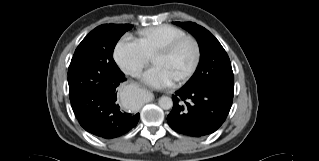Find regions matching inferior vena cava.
<instances>
[{
	"instance_id": "inferior-vena-cava-1",
	"label": "inferior vena cava",
	"mask_w": 319,
	"mask_h": 161,
	"mask_svg": "<svg viewBox=\"0 0 319 161\" xmlns=\"http://www.w3.org/2000/svg\"><path fill=\"white\" fill-rule=\"evenodd\" d=\"M129 74L133 77H140L141 76V70L140 69H132L129 71Z\"/></svg>"
}]
</instances>
